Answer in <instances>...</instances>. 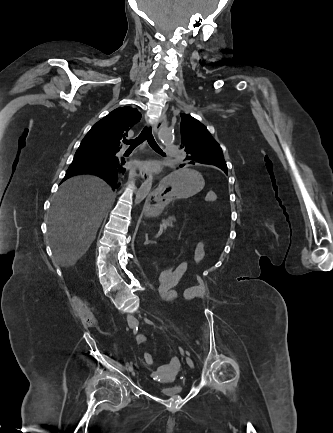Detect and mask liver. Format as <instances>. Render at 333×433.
Listing matches in <instances>:
<instances>
[{"label":"liver","mask_w":333,"mask_h":433,"mask_svg":"<svg viewBox=\"0 0 333 433\" xmlns=\"http://www.w3.org/2000/svg\"><path fill=\"white\" fill-rule=\"evenodd\" d=\"M114 198L110 186L93 175L75 176L61 185L48 215V235L57 264L74 266L88 251Z\"/></svg>","instance_id":"liver-1"}]
</instances>
